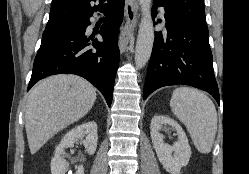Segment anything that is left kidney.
I'll use <instances>...</instances> for the list:
<instances>
[{"mask_svg":"<svg viewBox=\"0 0 249 174\" xmlns=\"http://www.w3.org/2000/svg\"><path fill=\"white\" fill-rule=\"evenodd\" d=\"M163 125H169L177 132L178 140L171 146L164 143V136L160 133ZM150 134L153 148L163 168L170 174H180L191 156V148L182 127L173 119L165 115H156L150 124Z\"/></svg>","mask_w":249,"mask_h":174,"instance_id":"left-kidney-1","label":"left kidney"}]
</instances>
